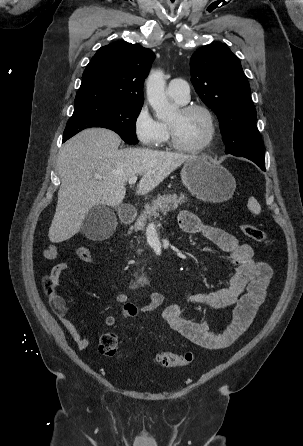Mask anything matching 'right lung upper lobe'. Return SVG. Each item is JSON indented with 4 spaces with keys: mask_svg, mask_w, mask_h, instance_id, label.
Returning <instances> with one entry per match:
<instances>
[{
    "mask_svg": "<svg viewBox=\"0 0 303 446\" xmlns=\"http://www.w3.org/2000/svg\"><path fill=\"white\" fill-rule=\"evenodd\" d=\"M154 58L150 49L139 44L101 47L83 73L75 107L104 102L143 105V81Z\"/></svg>",
    "mask_w": 303,
    "mask_h": 446,
    "instance_id": "obj_1",
    "label": "right lung upper lobe"
}]
</instances>
